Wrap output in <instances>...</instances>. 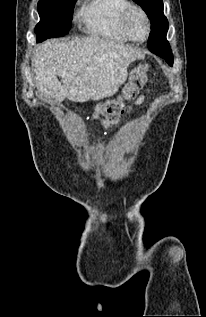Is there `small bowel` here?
<instances>
[{
  "mask_svg": "<svg viewBox=\"0 0 206 317\" xmlns=\"http://www.w3.org/2000/svg\"><path fill=\"white\" fill-rule=\"evenodd\" d=\"M143 101H144V96H140V97L136 100L135 105H139V104H141Z\"/></svg>",
  "mask_w": 206,
  "mask_h": 317,
  "instance_id": "obj_1",
  "label": "small bowel"
}]
</instances>
